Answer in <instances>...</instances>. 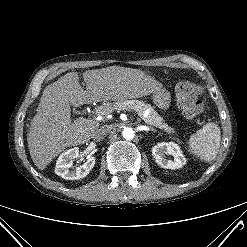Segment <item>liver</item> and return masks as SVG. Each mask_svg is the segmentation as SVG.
I'll list each match as a JSON object with an SVG mask.
<instances>
[{
	"label": "liver",
	"instance_id": "1",
	"mask_svg": "<svg viewBox=\"0 0 247 247\" xmlns=\"http://www.w3.org/2000/svg\"><path fill=\"white\" fill-rule=\"evenodd\" d=\"M82 76L86 90L79 84L78 72L65 74L43 90L27 136L31 158L39 170L67 147L84 143L99 128L96 119L79 117L72 123L71 106L139 98L158 90V83L138 69L111 66L87 70Z\"/></svg>",
	"mask_w": 247,
	"mask_h": 247
}]
</instances>
